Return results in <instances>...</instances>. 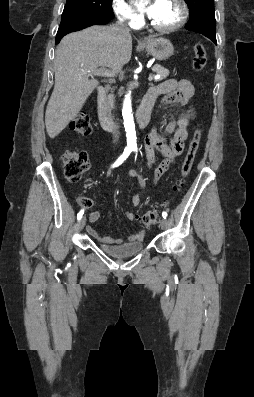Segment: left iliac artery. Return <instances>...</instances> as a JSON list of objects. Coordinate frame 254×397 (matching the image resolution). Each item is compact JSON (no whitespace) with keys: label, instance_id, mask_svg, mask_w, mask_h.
I'll return each mask as SVG.
<instances>
[{"label":"left iliac artery","instance_id":"44dca946","mask_svg":"<svg viewBox=\"0 0 254 397\" xmlns=\"http://www.w3.org/2000/svg\"><path fill=\"white\" fill-rule=\"evenodd\" d=\"M134 151L137 152V148H135ZM162 216H163L164 219H166L167 218V213L165 211H163L162 212Z\"/></svg>","mask_w":254,"mask_h":397}]
</instances>
